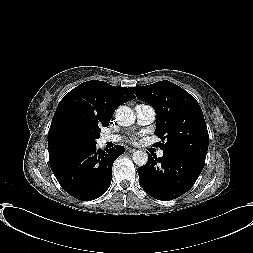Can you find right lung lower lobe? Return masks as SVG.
<instances>
[{
	"label": "right lung lower lobe",
	"mask_w": 253,
	"mask_h": 253,
	"mask_svg": "<svg viewBox=\"0 0 253 253\" xmlns=\"http://www.w3.org/2000/svg\"><path fill=\"white\" fill-rule=\"evenodd\" d=\"M124 150L123 146L116 145L105 152L93 145L49 157V163L59 184L68 194L90 201L108 190L113 162Z\"/></svg>",
	"instance_id": "right-lung-lower-lobe-1"
}]
</instances>
